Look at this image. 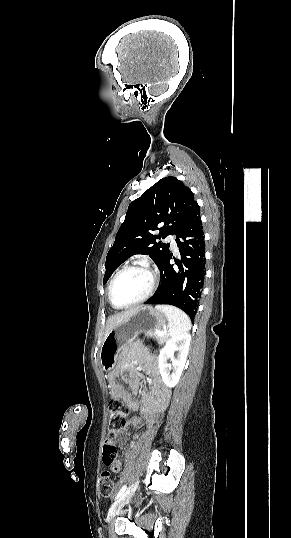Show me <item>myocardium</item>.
Instances as JSON below:
<instances>
[{
	"instance_id": "1",
	"label": "myocardium",
	"mask_w": 291,
	"mask_h": 538,
	"mask_svg": "<svg viewBox=\"0 0 291 538\" xmlns=\"http://www.w3.org/2000/svg\"><path fill=\"white\" fill-rule=\"evenodd\" d=\"M130 270H141L145 273H147L151 279V283H150V287L148 289V291L142 296L140 297L139 299L135 300V301H132L130 303H127V304H124V305H117L115 304L114 300H113V287H114V284L117 280V278L127 272V271H130ZM158 285V276L156 274V272L148 265L146 264H143V263H134V264H131V265H128L122 269H120L111 279L110 283H109V287H108V300L110 302V304L114 307V308H117V309H123V308H128V307H131V306H135V305H138V304H141L143 302H145L146 300H148L154 293L156 287Z\"/></svg>"
}]
</instances>
